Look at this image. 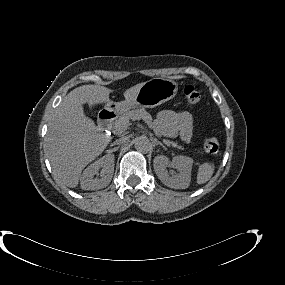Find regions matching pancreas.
<instances>
[{
  "label": "pancreas",
  "mask_w": 285,
  "mask_h": 285,
  "mask_svg": "<svg viewBox=\"0 0 285 285\" xmlns=\"http://www.w3.org/2000/svg\"><path fill=\"white\" fill-rule=\"evenodd\" d=\"M137 119H146L151 122L152 117L150 113L147 112L143 107L127 111L123 113L118 120L115 121L113 125L114 132L117 134L124 132L127 129L130 120H137ZM163 141L168 146L171 145L172 147L182 149V146L178 145L174 141H170L167 139H164Z\"/></svg>",
  "instance_id": "cf45deb5"
}]
</instances>
